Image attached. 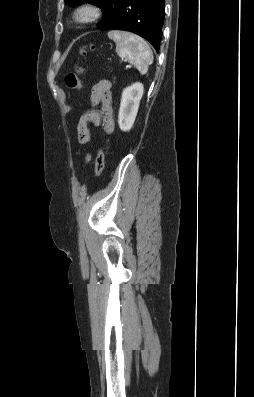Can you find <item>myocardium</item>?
I'll return each instance as SVG.
<instances>
[{"instance_id": "f54148a6", "label": "myocardium", "mask_w": 254, "mask_h": 397, "mask_svg": "<svg viewBox=\"0 0 254 397\" xmlns=\"http://www.w3.org/2000/svg\"><path fill=\"white\" fill-rule=\"evenodd\" d=\"M99 16L100 10L97 6L89 3L82 4L74 10L71 16V24H88L95 21Z\"/></svg>"}]
</instances>
